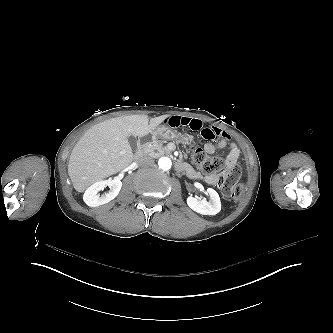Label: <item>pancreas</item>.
Here are the masks:
<instances>
[{"label":"pancreas","instance_id":"cf45deb5","mask_svg":"<svg viewBox=\"0 0 333 333\" xmlns=\"http://www.w3.org/2000/svg\"><path fill=\"white\" fill-rule=\"evenodd\" d=\"M165 140H155L152 142V144L147 147L146 151L144 152V155L151 156L153 158H159L165 154H170L171 151L168 149V147L165 145Z\"/></svg>","mask_w":333,"mask_h":333}]
</instances>
